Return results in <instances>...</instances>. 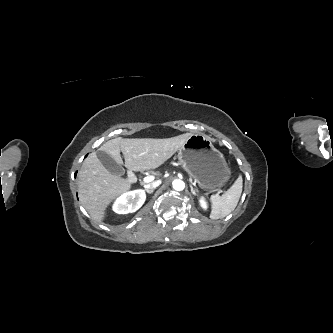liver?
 <instances>
[{
	"label": "liver",
	"mask_w": 333,
	"mask_h": 333,
	"mask_svg": "<svg viewBox=\"0 0 333 333\" xmlns=\"http://www.w3.org/2000/svg\"><path fill=\"white\" fill-rule=\"evenodd\" d=\"M185 133L166 139L115 138L104 143L98 150L106 152L118 164L132 171L155 169L178 151L191 136ZM120 152L123 153V162ZM79 199L90 216L97 222L103 221L107 207L121 194L131 188L125 178L113 175L91 153L83 162L78 173Z\"/></svg>",
	"instance_id": "1"
}]
</instances>
